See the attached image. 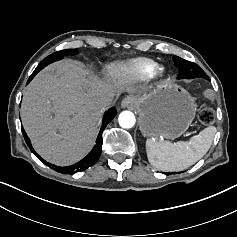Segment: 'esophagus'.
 I'll list each match as a JSON object with an SVG mask.
<instances>
[{
  "instance_id": "34e87169",
  "label": "esophagus",
  "mask_w": 237,
  "mask_h": 237,
  "mask_svg": "<svg viewBox=\"0 0 237 237\" xmlns=\"http://www.w3.org/2000/svg\"><path fill=\"white\" fill-rule=\"evenodd\" d=\"M137 106V99L133 96L125 97L121 102L122 108L135 109Z\"/></svg>"
}]
</instances>
